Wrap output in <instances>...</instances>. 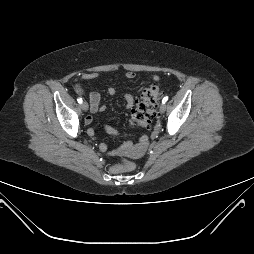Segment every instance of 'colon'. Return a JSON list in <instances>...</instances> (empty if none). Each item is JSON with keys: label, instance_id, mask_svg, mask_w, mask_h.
Segmentation results:
<instances>
[{"label": "colon", "instance_id": "obj_1", "mask_svg": "<svg viewBox=\"0 0 254 254\" xmlns=\"http://www.w3.org/2000/svg\"><path fill=\"white\" fill-rule=\"evenodd\" d=\"M77 91L81 92V89L77 87ZM161 95L162 92L158 86H151L144 90L141 100L136 103L131 112V118L135 125L141 128L150 126L152 120L157 117V106ZM134 169L135 164L125 159L112 166L114 173L128 172Z\"/></svg>", "mask_w": 254, "mask_h": 254}]
</instances>
